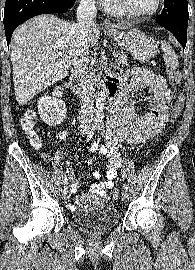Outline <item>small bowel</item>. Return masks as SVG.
Listing matches in <instances>:
<instances>
[{
  "label": "small bowel",
  "mask_w": 195,
  "mask_h": 270,
  "mask_svg": "<svg viewBox=\"0 0 195 270\" xmlns=\"http://www.w3.org/2000/svg\"><path fill=\"white\" fill-rule=\"evenodd\" d=\"M116 84L121 82V89L114 105L110 106L107 116V134L103 145H93L90 151L98 157L107 156L106 180L93 184L88 193L75 197L74 203L69 208L74 210L76 205H85L90 202L100 203L110 200L109 190L114 188L118 176V168L123 164L119 144L121 142L130 145H138L155 136L167 121L172 92L167 87L165 79L148 70L131 69L124 75L115 72L111 78ZM147 88L152 95V107L144 115H139L135 108L125 105L126 99L133 90ZM67 132H61L59 137L66 136ZM96 179L101 178L99 172H94ZM78 183L71 181L70 192H77Z\"/></svg>",
  "instance_id": "1"
}]
</instances>
